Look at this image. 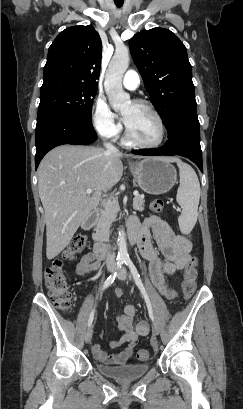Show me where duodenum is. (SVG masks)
<instances>
[{
  "label": "duodenum",
  "mask_w": 243,
  "mask_h": 409,
  "mask_svg": "<svg viewBox=\"0 0 243 409\" xmlns=\"http://www.w3.org/2000/svg\"><path fill=\"white\" fill-rule=\"evenodd\" d=\"M97 218H98L97 211H93L91 213V215L87 218L86 224L88 226L94 224L96 222ZM128 237H129V242H130L131 245L138 244L140 235H139V232L137 230L129 229ZM109 252H110V248L106 244H102V243L97 242V243H95V245L93 247V253H94V255H95V257L97 259L106 258L109 255Z\"/></svg>",
  "instance_id": "410a0bca"
}]
</instances>
